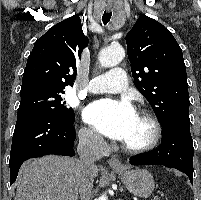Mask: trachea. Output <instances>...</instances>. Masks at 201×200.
<instances>
[{
  "label": "trachea",
  "instance_id": "obj_1",
  "mask_svg": "<svg viewBox=\"0 0 201 200\" xmlns=\"http://www.w3.org/2000/svg\"><path fill=\"white\" fill-rule=\"evenodd\" d=\"M111 16H112V12H107V11L104 12L103 17H102V21H103L104 25H106L110 21Z\"/></svg>",
  "mask_w": 201,
  "mask_h": 200
}]
</instances>
